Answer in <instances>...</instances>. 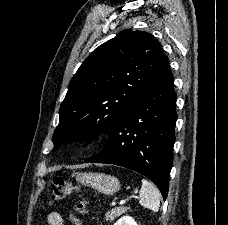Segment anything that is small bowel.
Returning a JSON list of instances; mask_svg holds the SVG:
<instances>
[{"label": "small bowel", "mask_w": 228, "mask_h": 225, "mask_svg": "<svg viewBox=\"0 0 228 225\" xmlns=\"http://www.w3.org/2000/svg\"><path fill=\"white\" fill-rule=\"evenodd\" d=\"M71 225H82L81 220L73 214L69 215ZM48 225H64V219L59 212L52 211L47 214Z\"/></svg>", "instance_id": "c3829d8e"}]
</instances>
